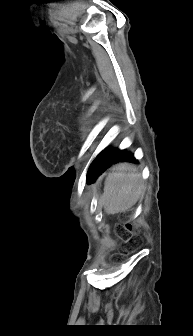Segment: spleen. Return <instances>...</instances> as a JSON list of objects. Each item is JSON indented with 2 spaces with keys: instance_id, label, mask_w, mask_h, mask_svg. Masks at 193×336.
<instances>
[{
  "instance_id": "spleen-1",
  "label": "spleen",
  "mask_w": 193,
  "mask_h": 336,
  "mask_svg": "<svg viewBox=\"0 0 193 336\" xmlns=\"http://www.w3.org/2000/svg\"><path fill=\"white\" fill-rule=\"evenodd\" d=\"M143 190L144 186L135 168L120 164L107 177L99 203L108 214L124 212L136 204Z\"/></svg>"
}]
</instances>
